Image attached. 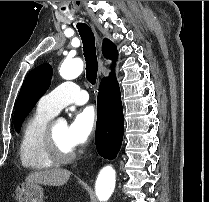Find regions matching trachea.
Segmentation results:
<instances>
[{
	"label": "trachea",
	"instance_id": "3493384b",
	"mask_svg": "<svg viewBox=\"0 0 209 202\" xmlns=\"http://www.w3.org/2000/svg\"><path fill=\"white\" fill-rule=\"evenodd\" d=\"M77 29L83 44V54L86 64V78L91 85H95L98 71L95 37L91 28L85 23H78Z\"/></svg>",
	"mask_w": 209,
	"mask_h": 202
}]
</instances>
